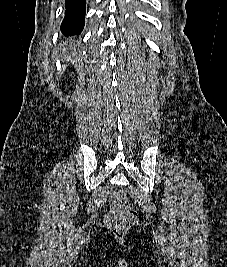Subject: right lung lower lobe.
<instances>
[{
    "mask_svg": "<svg viewBox=\"0 0 227 267\" xmlns=\"http://www.w3.org/2000/svg\"><path fill=\"white\" fill-rule=\"evenodd\" d=\"M65 17L61 32L65 36L79 35L84 28L86 0H65Z\"/></svg>",
    "mask_w": 227,
    "mask_h": 267,
    "instance_id": "obj_1",
    "label": "right lung lower lobe"
}]
</instances>
